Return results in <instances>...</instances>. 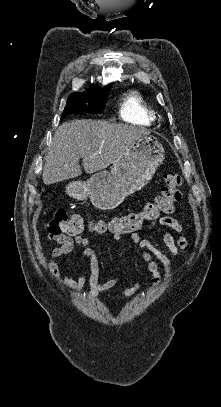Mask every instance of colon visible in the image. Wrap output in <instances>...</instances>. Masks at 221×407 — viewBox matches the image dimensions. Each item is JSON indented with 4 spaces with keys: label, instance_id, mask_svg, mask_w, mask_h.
<instances>
[{
    "label": "colon",
    "instance_id": "5ec220e1",
    "mask_svg": "<svg viewBox=\"0 0 221 407\" xmlns=\"http://www.w3.org/2000/svg\"><path fill=\"white\" fill-rule=\"evenodd\" d=\"M181 177L169 172L165 175V186L161 194L148 203L141 211L114 217L111 220H98L90 225L93 232H110L112 235H124L138 232L145 223L158 220L171 213L181 199ZM85 230L81 215H68L65 211H57L47 226L50 237L61 235L79 236Z\"/></svg>",
    "mask_w": 221,
    "mask_h": 407
}]
</instances>
